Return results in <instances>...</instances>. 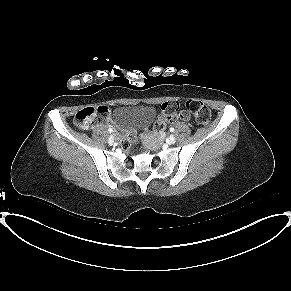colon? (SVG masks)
<instances>
[{"mask_svg": "<svg viewBox=\"0 0 291 291\" xmlns=\"http://www.w3.org/2000/svg\"><path fill=\"white\" fill-rule=\"evenodd\" d=\"M186 109L192 113L196 121L202 125H208L211 120V114L208 107L199 101H188ZM179 112V103L176 101H169L162 105L161 116L155 122L154 129L162 132L168 122L173 121ZM110 109L106 106H91L79 110L75 114V124L82 129H86L93 124H105L110 119ZM136 135L130 133L124 142V147L129 148L135 141Z\"/></svg>", "mask_w": 291, "mask_h": 291, "instance_id": "colon-1", "label": "colon"}]
</instances>
